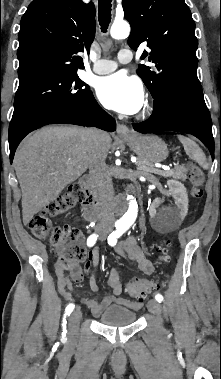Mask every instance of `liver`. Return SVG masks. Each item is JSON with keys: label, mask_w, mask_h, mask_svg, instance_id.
I'll return each instance as SVG.
<instances>
[{"label": "liver", "mask_w": 221, "mask_h": 379, "mask_svg": "<svg viewBox=\"0 0 221 379\" xmlns=\"http://www.w3.org/2000/svg\"><path fill=\"white\" fill-rule=\"evenodd\" d=\"M85 128L48 126L23 139L14 157L22 191L24 225L87 170L90 141ZM99 152L105 160L111 137L101 132Z\"/></svg>", "instance_id": "6515ba94"}]
</instances>
